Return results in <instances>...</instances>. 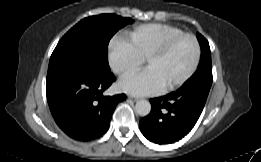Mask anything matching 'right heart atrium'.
Here are the masks:
<instances>
[{"label": "right heart atrium", "instance_id": "d8ad5b80", "mask_svg": "<svg viewBox=\"0 0 261 162\" xmlns=\"http://www.w3.org/2000/svg\"><path fill=\"white\" fill-rule=\"evenodd\" d=\"M144 62L134 50L131 43L123 38H114L108 47V63L111 70L119 75L126 76L140 69Z\"/></svg>", "mask_w": 261, "mask_h": 162}]
</instances>
